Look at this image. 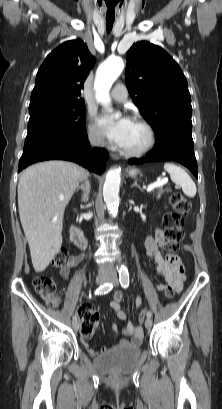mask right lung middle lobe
<instances>
[{"label":"right lung middle lobe","instance_id":"dd1d6c3e","mask_svg":"<svg viewBox=\"0 0 222 409\" xmlns=\"http://www.w3.org/2000/svg\"><path fill=\"white\" fill-rule=\"evenodd\" d=\"M23 152L37 147L72 149L87 136L83 102L49 103L29 108Z\"/></svg>","mask_w":222,"mask_h":409}]
</instances>
